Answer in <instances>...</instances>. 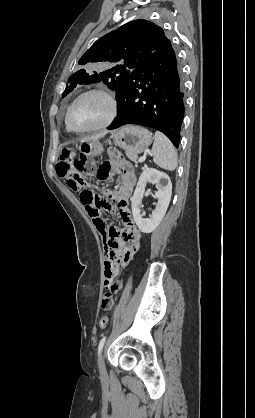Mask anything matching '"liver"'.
Instances as JSON below:
<instances>
[{"label": "liver", "mask_w": 255, "mask_h": 418, "mask_svg": "<svg viewBox=\"0 0 255 418\" xmlns=\"http://www.w3.org/2000/svg\"><path fill=\"white\" fill-rule=\"evenodd\" d=\"M105 135H106L105 132L99 133V134H95V135H92V136H88V137L83 138L80 142L81 143H84V142H90V141H98L100 138L104 137Z\"/></svg>", "instance_id": "6515ba94"}]
</instances>
